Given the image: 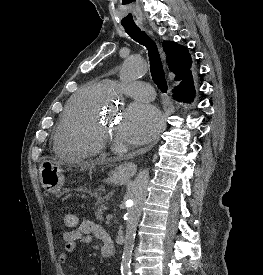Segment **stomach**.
I'll use <instances>...</instances> for the list:
<instances>
[{"label": "stomach", "mask_w": 263, "mask_h": 275, "mask_svg": "<svg viewBox=\"0 0 263 275\" xmlns=\"http://www.w3.org/2000/svg\"><path fill=\"white\" fill-rule=\"evenodd\" d=\"M62 162H56L53 160H45L41 163L39 168L40 181L44 189L48 193L61 196L64 191L65 176L62 168ZM126 181V177L120 172L119 169L112 171L106 182L113 184H123Z\"/></svg>", "instance_id": "1"}]
</instances>
